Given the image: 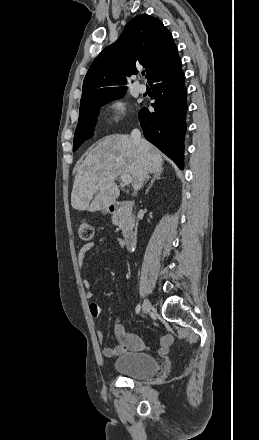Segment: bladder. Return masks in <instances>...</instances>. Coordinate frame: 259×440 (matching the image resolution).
<instances>
[{"label":"bladder","mask_w":259,"mask_h":440,"mask_svg":"<svg viewBox=\"0 0 259 440\" xmlns=\"http://www.w3.org/2000/svg\"><path fill=\"white\" fill-rule=\"evenodd\" d=\"M117 373L133 378L147 379L156 375L160 369L158 360L146 352H126L114 360Z\"/></svg>","instance_id":"1"}]
</instances>
